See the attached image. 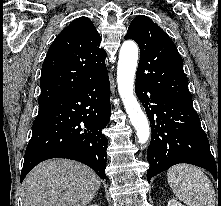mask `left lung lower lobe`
Wrapping results in <instances>:
<instances>
[{"instance_id": "left-lung-lower-lobe-1", "label": "left lung lower lobe", "mask_w": 221, "mask_h": 206, "mask_svg": "<svg viewBox=\"0 0 221 206\" xmlns=\"http://www.w3.org/2000/svg\"><path fill=\"white\" fill-rule=\"evenodd\" d=\"M135 90L151 123L148 182L178 163L205 168L217 179L215 159L193 104L166 98L138 83ZM218 176L220 179L221 169H218Z\"/></svg>"}]
</instances>
